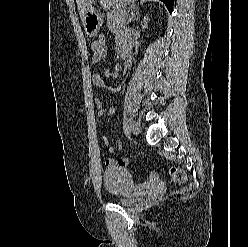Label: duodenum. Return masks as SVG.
<instances>
[{"label": "duodenum", "instance_id": "duodenum-1", "mask_svg": "<svg viewBox=\"0 0 248 247\" xmlns=\"http://www.w3.org/2000/svg\"><path fill=\"white\" fill-rule=\"evenodd\" d=\"M121 56H122V59L124 61H127L128 60V52L127 51L122 52Z\"/></svg>", "mask_w": 248, "mask_h": 247}]
</instances>
